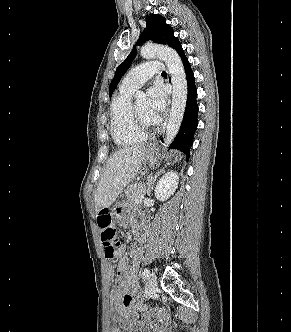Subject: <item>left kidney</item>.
<instances>
[{"instance_id":"5707ae66","label":"left kidney","mask_w":291,"mask_h":332,"mask_svg":"<svg viewBox=\"0 0 291 332\" xmlns=\"http://www.w3.org/2000/svg\"><path fill=\"white\" fill-rule=\"evenodd\" d=\"M179 177L176 172H167L157 183L155 197L159 201L167 200L177 189Z\"/></svg>"}]
</instances>
